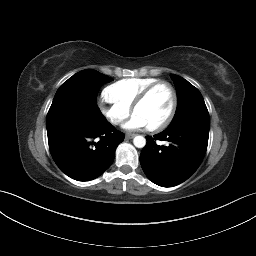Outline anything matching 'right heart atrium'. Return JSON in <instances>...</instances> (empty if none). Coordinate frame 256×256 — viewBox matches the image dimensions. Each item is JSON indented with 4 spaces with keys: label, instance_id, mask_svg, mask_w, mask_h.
<instances>
[{
    "label": "right heart atrium",
    "instance_id": "1",
    "mask_svg": "<svg viewBox=\"0 0 256 256\" xmlns=\"http://www.w3.org/2000/svg\"><path fill=\"white\" fill-rule=\"evenodd\" d=\"M100 109L106 119L113 125L122 124L131 112L129 107L111 100L106 92L101 97Z\"/></svg>",
    "mask_w": 256,
    "mask_h": 256
}]
</instances>
